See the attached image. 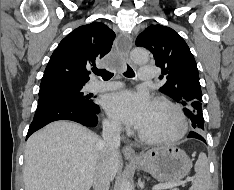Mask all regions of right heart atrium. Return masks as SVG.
<instances>
[{"instance_id":"obj_1","label":"right heart atrium","mask_w":234,"mask_h":190,"mask_svg":"<svg viewBox=\"0 0 234 190\" xmlns=\"http://www.w3.org/2000/svg\"><path fill=\"white\" fill-rule=\"evenodd\" d=\"M106 128L112 132H118L120 130V126L114 121H107Z\"/></svg>"}]
</instances>
